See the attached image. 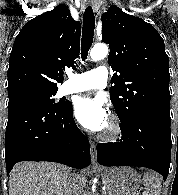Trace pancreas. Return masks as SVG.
Segmentation results:
<instances>
[{"label": "pancreas", "instance_id": "1", "mask_svg": "<svg viewBox=\"0 0 178 195\" xmlns=\"http://www.w3.org/2000/svg\"><path fill=\"white\" fill-rule=\"evenodd\" d=\"M104 195H108V194H107V192H105V194H104Z\"/></svg>", "mask_w": 178, "mask_h": 195}]
</instances>
